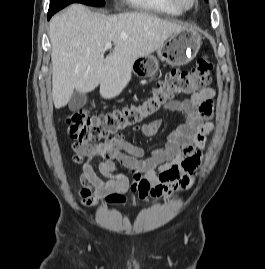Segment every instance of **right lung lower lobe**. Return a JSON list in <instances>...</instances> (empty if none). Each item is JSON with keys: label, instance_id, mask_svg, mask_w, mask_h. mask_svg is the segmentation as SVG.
Returning a JSON list of instances; mask_svg holds the SVG:
<instances>
[{"label": "right lung lower lobe", "instance_id": "right-lung-lower-lobe-1", "mask_svg": "<svg viewBox=\"0 0 265 269\" xmlns=\"http://www.w3.org/2000/svg\"><path fill=\"white\" fill-rule=\"evenodd\" d=\"M67 5H61L56 7H49L48 11V20L51 18V16L56 13L57 11L61 10L62 8L66 7Z\"/></svg>", "mask_w": 265, "mask_h": 269}]
</instances>
